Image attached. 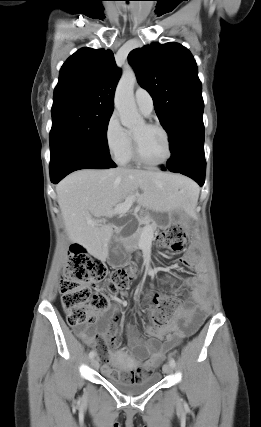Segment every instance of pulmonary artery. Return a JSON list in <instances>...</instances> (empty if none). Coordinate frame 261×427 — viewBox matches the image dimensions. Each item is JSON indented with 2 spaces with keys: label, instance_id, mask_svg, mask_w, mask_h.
Masks as SVG:
<instances>
[{
  "label": "pulmonary artery",
  "instance_id": "1",
  "mask_svg": "<svg viewBox=\"0 0 261 427\" xmlns=\"http://www.w3.org/2000/svg\"><path fill=\"white\" fill-rule=\"evenodd\" d=\"M135 102L144 115L149 116L153 111V99L147 90L138 88L135 91Z\"/></svg>",
  "mask_w": 261,
  "mask_h": 427
}]
</instances>
